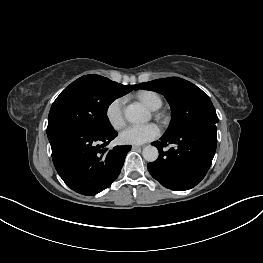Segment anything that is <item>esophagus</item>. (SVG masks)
Returning a JSON list of instances; mask_svg holds the SVG:
<instances>
[{
    "label": "esophagus",
    "instance_id": "1",
    "mask_svg": "<svg viewBox=\"0 0 263 263\" xmlns=\"http://www.w3.org/2000/svg\"><path fill=\"white\" fill-rule=\"evenodd\" d=\"M143 148V146H138V145H133L132 149L133 150H141Z\"/></svg>",
    "mask_w": 263,
    "mask_h": 263
}]
</instances>
